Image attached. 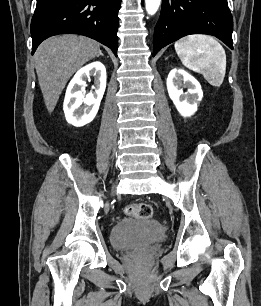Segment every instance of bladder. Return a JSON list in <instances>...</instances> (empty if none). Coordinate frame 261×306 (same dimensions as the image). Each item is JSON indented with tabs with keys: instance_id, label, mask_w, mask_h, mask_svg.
Returning <instances> with one entry per match:
<instances>
[{
	"instance_id": "31cf9c89",
	"label": "bladder",
	"mask_w": 261,
	"mask_h": 306,
	"mask_svg": "<svg viewBox=\"0 0 261 306\" xmlns=\"http://www.w3.org/2000/svg\"><path fill=\"white\" fill-rule=\"evenodd\" d=\"M166 239V228L157 220L123 218L117 221L110 232V241L116 250L162 242Z\"/></svg>"
}]
</instances>
